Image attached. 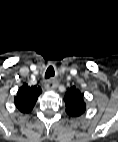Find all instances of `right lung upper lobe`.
<instances>
[{
  "label": "right lung upper lobe",
  "mask_w": 118,
  "mask_h": 142,
  "mask_svg": "<svg viewBox=\"0 0 118 142\" xmlns=\"http://www.w3.org/2000/svg\"><path fill=\"white\" fill-rule=\"evenodd\" d=\"M42 90L37 86H28L27 84H23L15 97V105L22 113L30 112L37 99L41 94Z\"/></svg>",
  "instance_id": "1"
}]
</instances>
